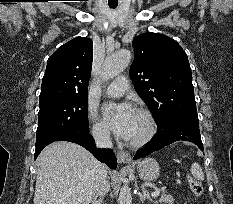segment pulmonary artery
I'll use <instances>...</instances> for the list:
<instances>
[{
	"mask_svg": "<svg viewBox=\"0 0 233 204\" xmlns=\"http://www.w3.org/2000/svg\"><path fill=\"white\" fill-rule=\"evenodd\" d=\"M128 88V79L125 76H119L106 88V93L110 96L118 97L123 95Z\"/></svg>",
	"mask_w": 233,
	"mask_h": 204,
	"instance_id": "1",
	"label": "pulmonary artery"
}]
</instances>
